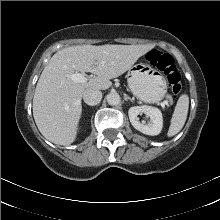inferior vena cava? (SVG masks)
Listing matches in <instances>:
<instances>
[{
	"label": "inferior vena cava",
	"mask_w": 220,
	"mask_h": 220,
	"mask_svg": "<svg viewBox=\"0 0 220 220\" xmlns=\"http://www.w3.org/2000/svg\"><path fill=\"white\" fill-rule=\"evenodd\" d=\"M83 99L84 102L88 105H97L102 99V92L98 89H86L83 93Z\"/></svg>",
	"instance_id": "inferior-vena-cava-1"
}]
</instances>
